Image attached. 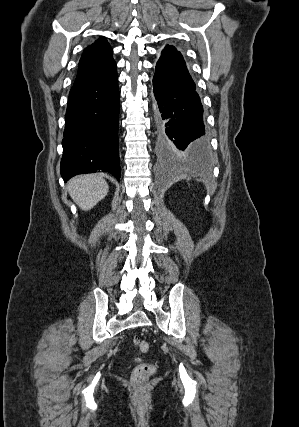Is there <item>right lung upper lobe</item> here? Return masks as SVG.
I'll return each instance as SVG.
<instances>
[{
	"label": "right lung upper lobe",
	"mask_w": 299,
	"mask_h": 427,
	"mask_svg": "<svg viewBox=\"0 0 299 427\" xmlns=\"http://www.w3.org/2000/svg\"><path fill=\"white\" fill-rule=\"evenodd\" d=\"M112 54V48L103 37L88 46L80 59L74 85L103 79L115 71L116 63Z\"/></svg>",
	"instance_id": "cb5924a9"
}]
</instances>
